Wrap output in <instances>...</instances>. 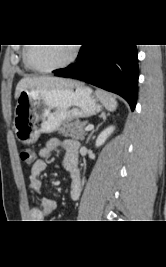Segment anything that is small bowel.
<instances>
[{"label":"small bowel","mask_w":166,"mask_h":267,"mask_svg":"<svg viewBox=\"0 0 166 267\" xmlns=\"http://www.w3.org/2000/svg\"><path fill=\"white\" fill-rule=\"evenodd\" d=\"M62 149L65 153L63 160V167L70 173L71 176V188L70 197L73 200H77L81 191V177L80 171L77 166V151L79 148V143L73 139L59 140L57 138L50 139L47 144L40 149L39 156L30 170L29 184L30 187L37 193H42V181L40 175L46 169V162L44 158L49 157L52 152L56 149ZM57 208V203L48 198L42 197L40 204L37 207H33L30 210L29 216L31 220L35 222H41L46 217L51 215Z\"/></svg>","instance_id":"c3829d8e"}]
</instances>
